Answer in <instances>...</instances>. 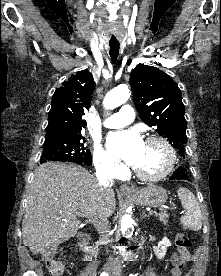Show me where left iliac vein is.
Listing matches in <instances>:
<instances>
[{
  "label": "left iliac vein",
  "mask_w": 221,
  "mask_h": 276,
  "mask_svg": "<svg viewBox=\"0 0 221 276\" xmlns=\"http://www.w3.org/2000/svg\"><path fill=\"white\" fill-rule=\"evenodd\" d=\"M111 276H120V274L118 272H112Z\"/></svg>",
  "instance_id": "left-iliac-vein-1"
}]
</instances>
